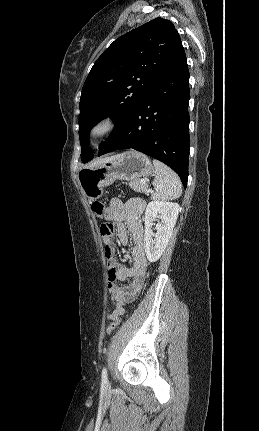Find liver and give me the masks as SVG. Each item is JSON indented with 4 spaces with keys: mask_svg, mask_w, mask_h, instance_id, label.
<instances>
[{
    "mask_svg": "<svg viewBox=\"0 0 259 431\" xmlns=\"http://www.w3.org/2000/svg\"><path fill=\"white\" fill-rule=\"evenodd\" d=\"M117 156H118V155L111 156V157H105V158H99V159H97V160L93 161V162H92L91 164H89L87 167H93V166H96V165L102 164V163H104V162H106V161H109V160H112V159L116 158Z\"/></svg>",
    "mask_w": 259,
    "mask_h": 431,
    "instance_id": "1",
    "label": "liver"
}]
</instances>
